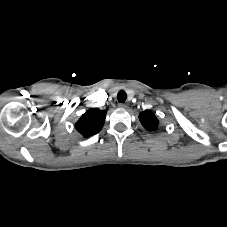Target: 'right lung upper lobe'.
I'll return each instance as SVG.
<instances>
[{
  "label": "right lung upper lobe",
  "mask_w": 227,
  "mask_h": 227,
  "mask_svg": "<svg viewBox=\"0 0 227 227\" xmlns=\"http://www.w3.org/2000/svg\"><path fill=\"white\" fill-rule=\"evenodd\" d=\"M105 117V110L91 108L86 111L76 122L75 128L84 137H90L102 129L105 122Z\"/></svg>",
  "instance_id": "cb5924a9"
}]
</instances>
